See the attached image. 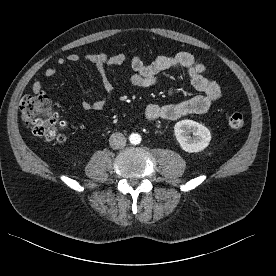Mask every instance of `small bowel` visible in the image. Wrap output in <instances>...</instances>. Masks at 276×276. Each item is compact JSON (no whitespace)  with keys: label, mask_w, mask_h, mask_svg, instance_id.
Returning a JSON list of instances; mask_svg holds the SVG:
<instances>
[{"label":"small bowel","mask_w":276,"mask_h":276,"mask_svg":"<svg viewBox=\"0 0 276 276\" xmlns=\"http://www.w3.org/2000/svg\"><path fill=\"white\" fill-rule=\"evenodd\" d=\"M81 60L92 64L97 69L105 91V96L95 101L83 100L81 106L84 110H99L104 108L115 93V85L107 76V69L125 64L128 59L124 54L108 55L105 53L85 54L69 53L56 59L59 67L67 63H76ZM130 66L134 73L130 77L133 86L149 88L154 86L159 75L168 70H185L190 78L192 86L201 94L190 99L167 105L150 104L145 109V116L150 121L175 120L188 114L205 113L211 105L220 97L221 88L219 84L205 76V66L198 62L188 52H178L174 55H159L150 63H145L139 56L130 59ZM58 72L56 66H48L44 75L48 78L54 77ZM35 94L43 92L42 82L37 80L32 85Z\"/></svg>","instance_id":"1"}]
</instances>
